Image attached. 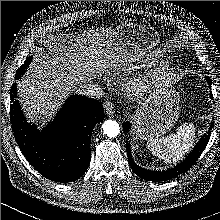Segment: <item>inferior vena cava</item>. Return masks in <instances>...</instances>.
<instances>
[{"label":"inferior vena cava","instance_id":"1","mask_svg":"<svg viewBox=\"0 0 220 220\" xmlns=\"http://www.w3.org/2000/svg\"><path fill=\"white\" fill-rule=\"evenodd\" d=\"M82 95L91 97V98H101L103 96V88L98 84H88L82 87L80 90Z\"/></svg>","mask_w":220,"mask_h":220}]
</instances>
